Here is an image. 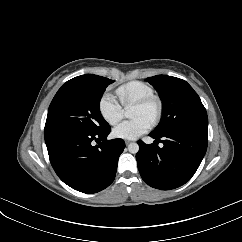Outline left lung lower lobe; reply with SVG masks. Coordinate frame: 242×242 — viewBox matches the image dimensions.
<instances>
[{"instance_id":"1","label":"left lung lower lobe","mask_w":242,"mask_h":242,"mask_svg":"<svg viewBox=\"0 0 242 242\" xmlns=\"http://www.w3.org/2000/svg\"><path fill=\"white\" fill-rule=\"evenodd\" d=\"M154 144L138 141L137 165L151 187L170 190L185 184L198 169L207 149V127L189 126L158 136ZM163 139V140H161ZM164 146L160 148L158 142Z\"/></svg>"}]
</instances>
